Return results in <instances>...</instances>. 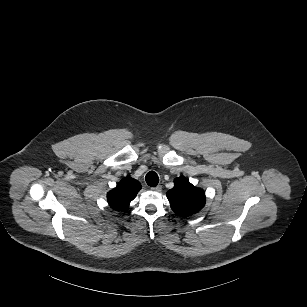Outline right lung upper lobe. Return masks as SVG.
I'll list each match as a JSON object with an SVG mask.
<instances>
[{
  "instance_id": "cb5924a9",
  "label": "right lung upper lobe",
  "mask_w": 307,
  "mask_h": 307,
  "mask_svg": "<svg viewBox=\"0 0 307 307\" xmlns=\"http://www.w3.org/2000/svg\"><path fill=\"white\" fill-rule=\"evenodd\" d=\"M140 189L141 184L137 180L131 177L122 179L117 187L107 194L110 207L117 211L126 210Z\"/></svg>"
}]
</instances>
